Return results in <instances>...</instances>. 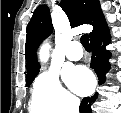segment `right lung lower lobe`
<instances>
[{"mask_svg": "<svg viewBox=\"0 0 121 113\" xmlns=\"http://www.w3.org/2000/svg\"><path fill=\"white\" fill-rule=\"evenodd\" d=\"M92 60L91 68H93L98 76L99 84L104 83L105 74L108 72L110 65L108 59L111 54L105 49L106 45L110 42V35L106 27L91 39ZM98 94L94 96L83 98L80 105V113H92L91 104L97 99Z\"/></svg>", "mask_w": 121, "mask_h": 113, "instance_id": "98d812e1", "label": "right lung lower lobe"}]
</instances>
